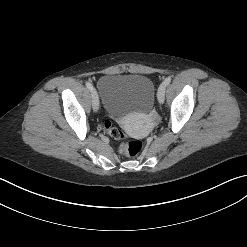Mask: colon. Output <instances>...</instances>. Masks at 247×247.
Returning a JSON list of instances; mask_svg holds the SVG:
<instances>
[{
	"label": "colon",
	"mask_w": 247,
	"mask_h": 247,
	"mask_svg": "<svg viewBox=\"0 0 247 247\" xmlns=\"http://www.w3.org/2000/svg\"><path fill=\"white\" fill-rule=\"evenodd\" d=\"M104 127L112 139L118 142V151L120 154L133 157L139 154L142 149V143L138 140H131L117 127H114L109 120L104 122Z\"/></svg>",
	"instance_id": "obj_1"
}]
</instances>
